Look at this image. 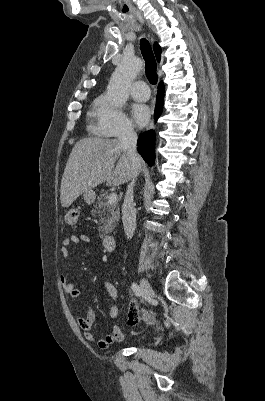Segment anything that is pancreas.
I'll list each match as a JSON object with an SVG mask.
<instances>
[{
  "instance_id": "pancreas-1",
  "label": "pancreas",
  "mask_w": 265,
  "mask_h": 401,
  "mask_svg": "<svg viewBox=\"0 0 265 401\" xmlns=\"http://www.w3.org/2000/svg\"><path fill=\"white\" fill-rule=\"evenodd\" d=\"M103 194H100L97 198V203L93 205L94 209L91 211L92 217L99 219V237L104 239L108 237V233L112 231L113 227L117 225L119 221V207L117 203H108V192L102 190Z\"/></svg>"
}]
</instances>
